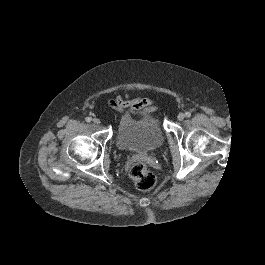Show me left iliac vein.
I'll list each match as a JSON object with an SVG mask.
<instances>
[{"mask_svg": "<svg viewBox=\"0 0 265 265\" xmlns=\"http://www.w3.org/2000/svg\"><path fill=\"white\" fill-rule=\"evenodd\" d=\"M184 118H185V115L183 113H179L178 116H177V119L179 121H182Z\"/></svg>", "mask_w": 265, "mask_h": 265, "instance_id": "left-iliac-vein-1", "label": "left iliac vein"}]
</instances>
